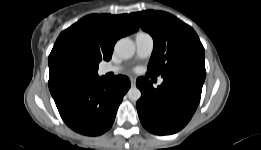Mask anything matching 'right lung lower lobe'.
Returning <instances> with one entry per match:
<instances>
[{"label":"right lung lower lobe","instance_id":"right-lung-lower-lobe-1","mask_svg":"<svg viewBox=\"0 0 261 150\" xmlns=\"http://www.w3.org/2000/svg\"><path fill=\"white\" fill-rule=\"evenodd\" d=\"M130 88L126 76L74 84L53 95L64 122L74 131L100 135L112 126L118 106Z\"/></svg>","mask_w":261,"mask_h":150}]
</instances>
